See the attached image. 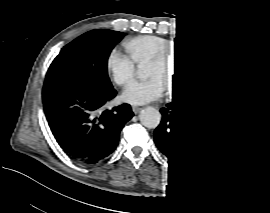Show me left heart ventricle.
<instances>
[{"instance_id":"left-heart-ventricle-1","label":"left heart ventricle","mask_w":270,"mask_h":213,"mask_svg":"<svg viewBox=\"0 0 270 213\" xmlns=\"http://www.w3.org/2000/svg\"><path fill=\"white\" fill-rule=\"evenodd\" d=\"M177 56L172 59L168 69H165L160 66H150L149 72L150 75H159L162 81L167 85H174L176 76H177Z\"/></svg>"}]
</instances>
